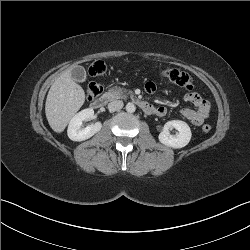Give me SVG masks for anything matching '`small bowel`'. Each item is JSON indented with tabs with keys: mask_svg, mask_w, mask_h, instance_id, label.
<instances>
[{
	"mask_svg": "<svg viewBox=\"0 0 250 250\" xmlns=\"http://www.w3.org/2000/svg\"><path fill=\"white\" fill-rule=\"evenodd\" d=\"M145 89L148 93H153L156 90L155 84L153 82H147ZM184 100L195 106V109L190 108H180L179 113L189 120L192 124L199 126L201 125L210 114V103L203 99L196 92H188L184 95ZM156 115L165 116L167 113V108L165 106H160L156 108Z\"/></svg>",
	"mask_w": 250,
	"mask_h": 250,
	"instance_id": "c3829d8e",
	"label": "small bowel"
}]
</instances>
